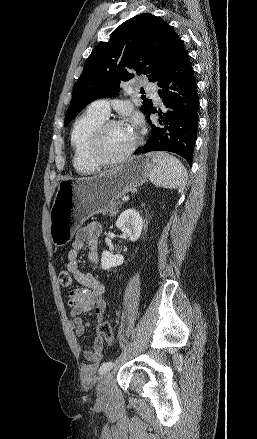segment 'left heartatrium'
<instances>
[{"label": "left heart atrium", "mask_w": 257, "mask_h": 439, "mask_svg": "<svg viewBox=\"0 0 257 439\" xmlns=\"http://www.w3.org/2000/svg\"><path fill=\"white\" fill-rule=\"evenodd\" d=\"M132 120H133L134 123H139V122H140V117H139L138 115H135V116L132 118Z\"/></svg>", "instance_id": "left-heart-atrium-1"}]
</instances>
